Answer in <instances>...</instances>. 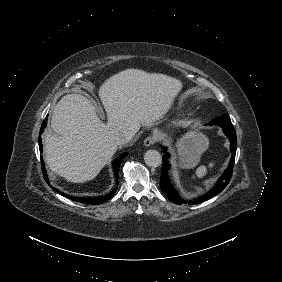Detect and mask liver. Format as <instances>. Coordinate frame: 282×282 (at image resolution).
<instances>
[{"label": "liver", "mask_w": 282, "mask_h": 282, "mask_svg": "<svg viewBox=\"0 0 282 282\" xmlns=\"http://www.w3.org/2000/svg\"><path fill=\"white\" fill-rule=\"evenodd\" d=\"M182 89L180 80L139 69H126L108 78L99 97L108 116L104 124L91 102L81 94H67L56 104L45 135L46 162L67 181L91 180L117 150L114 131L150 125L169 111Z\"/></svg>", "instance_id": "obj_1"}]
</instances>
